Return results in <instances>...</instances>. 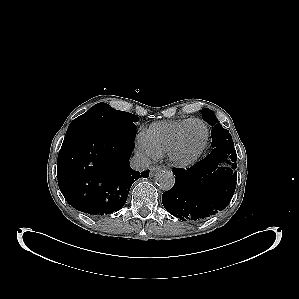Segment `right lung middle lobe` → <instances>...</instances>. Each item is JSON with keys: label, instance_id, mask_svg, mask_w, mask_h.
I'll list each match as a JSON object with an SVG mask.
<instances>
[{"label": "right lung middle lobe", "instance_id": "dd1d6c3e", "mask_svg": "<svg viewBox=\"0 0 299 299\" xmlns=\"http://www.w3.org/2000/svg\"><path fill=\"white\" fill-rule=\"evenodd\" d=\"M137 121L138 116L132 113L115 110L106 103H98L74 119L67 132L101 129L136 130Z\"/></svg>", "mask_w": 299, "mask_h": 299}]
</instances>
